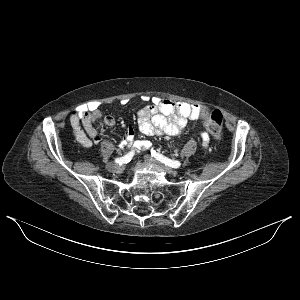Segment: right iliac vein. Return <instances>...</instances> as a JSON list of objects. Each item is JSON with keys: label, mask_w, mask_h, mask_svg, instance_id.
I'll list each match as a JSON object with an SVG mask.
<instances>
[{"label": "right iliac vein", "mask_w": 300, "mask_h": 300, "mask_svg": "<svg viewBox=\"0 0 300 300\" xmlns=\"http://www.w3.org/2000/svg\"><path fill=\"white\" fill-rule=\"evenodd\" d=\"M106 168L109 170V171H112V172H115V173H119L122 171L123 167L119 164H115V163H108L106 165Z\"/></svg>", "instance_id": "right-iliac-vein-1"}]
</instances>
